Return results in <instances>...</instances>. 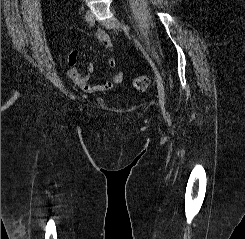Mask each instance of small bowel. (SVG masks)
Instances as JSON below:
<instances>
[{
    "label": "small bowel",
    "instance_id": "1",
    "mask_svg": "<svg viewBox=\"0 0 245 239\" xmlns=\"http://www.w3.org/2000/svg\"><path fill=\"white\" fill-rule=\"evenodd\" d=\"M97 39H98V42L103 47L107 49L112 48L110 38L105 32L99 31L97 33ZM77 58H78V52L76 50H73L69 53L68 68L65 74L70 81H72L76 86H78L83 91L87 93L108 91L122 83L124 79V74L121 71L113 74L111 78L104 83H101V84L90 83V75L94 71V65L92 63H89L85 66L84 71H80L77 68ZM106 65L109 68H115L116 60L113 57H109L106 60Z\"/></svg>",
    "mask_w": 245,
    "mask_h": 239
}]
</instances>
